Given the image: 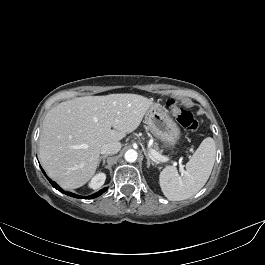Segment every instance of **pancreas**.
I'll use <instances>...</instances> for the list:
<instances>
[{
	"label": "pancreas",
	"instance_id": "pancreas-1",
	"mask_svg": "<svg viewBox=\"0 0 265 265\" xmlns=\"http://www.w3.org/2000/svg\"><path fill=\"white\" fill-rule=\"evenodd\" d=\"M154 149L158 150V145L156 143L154 144Z\"/></svg>",
	"mask_w": 265,
	"mask_h": 265
}]
</instances>
